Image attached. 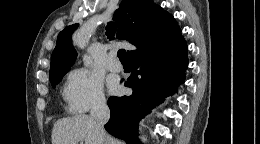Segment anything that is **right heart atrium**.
<instances>
[{
    "label": "right heart atrium",
    "mask_w": 260,
    "mask_h": 144,
    "mask_svg": "<svg viewBox=\"0 0 260 144\" xmlns=\"http://www.w3.org/2000/svg\"><path fill=\"white\" fill-rule=\"evenodd\" d=\"M64 98L68 108L84 113L105 105L102 80L87 69L72 70L64 86Z\"/></svg>",
    "instance_id": "right-heart-atrium-1"
}]
</instances>
